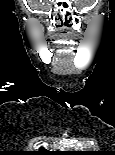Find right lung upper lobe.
I'll return each instance as SVG.
<instances>
[{
	"label": "right lung upper lobe",
	"instance_id": "cb5924a9",
	"mask_svg": "<svg viewBox=\"0 0 115 155\" xmlns=\"http://www.w3.org/2000/svg\"><path fill=\"white\" fill-rule=\"evenodd\" d=\"M56 152L54 151H48L41 147L38 151H34L33 155H55Z\"/></svg>",
	"mask_w": 115,
	"mask_h": 155
}]
</instances>
